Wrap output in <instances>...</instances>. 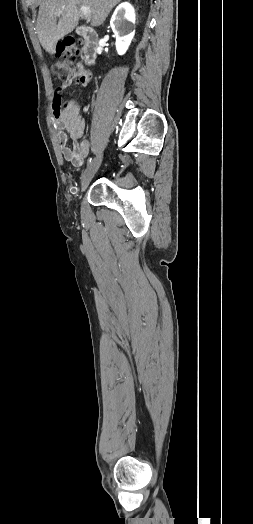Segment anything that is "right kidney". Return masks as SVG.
Masks as SVG:
<instances>
[{
	"label": "right kidney",
	"mask_w": 253,
	"mask_h": 524,
	"mask_svg": "<svg viewBox=\"0 0 253 524\" xmlns=\"http://www.w3.org/2000/svg\"><path fill=\"white\" fill-rule=\"evenodd\" d=\"M129 22L135 23V11L131 4L125 2L115 9L110 20V26L116 35L115 45L119 55L127 51L134 37V31L129 33Z\"/></svg>",
	"instance_id": "right-kidney-1"
}]
</instances>
